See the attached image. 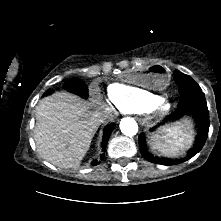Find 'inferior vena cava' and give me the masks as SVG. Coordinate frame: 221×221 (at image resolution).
<instances>
[{"mask_svg":"<svg viewBox=\"0 0 221 221\" xmlns=\"http://www.w3.org/2000/svg\"><path fill=\"white\" fill-rule=\"evenodd\" d=\"M98 118L101 123L106 122L107 120L113 119V113L111 108H104L98 113Z\"/></svg>","mask_w":221,"mask_h":221,"instance_id":"602c4592","label":"inferior vena cava"}]
</instances>
